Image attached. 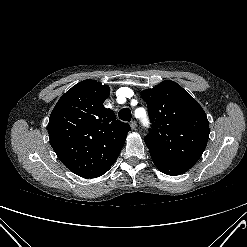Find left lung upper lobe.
Returning <instances> with one entry per match:
<instances>
[{
	"mask_svg": "<svg viewBox=\"0 0 247 247\" xmlns=\"http://www.w3.org/2000/svg\"><path fill=\"white\" fill-rule=\"evenodd\" d=\"M152 123L144 141L151 156L192 167L209 138L202 107L176 82L163 81L142 91Z\"/></svg>",
	"mask_w": 247,
	"mask_h": 247,
	"instance_id": "5c2ea615",
	"label": "left lung upper lobe"
}]
</instances>
